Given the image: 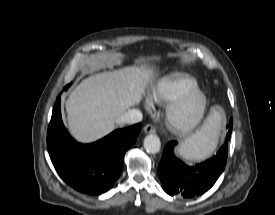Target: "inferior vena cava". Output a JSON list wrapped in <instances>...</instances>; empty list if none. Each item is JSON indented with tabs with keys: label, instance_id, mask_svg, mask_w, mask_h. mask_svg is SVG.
Here are the masks:
<instances>
[{
	"label": "inferior vena cava",
	"instance_id": "1",
	"mask_svg": "<svg viewBox=\"0 0 275 215\" xmlns=\"http://www.w3.org/2000/svg\"><path fill=\"white\" fill-rule=\"evenodd\" d=\"M142 121V113L138 109L126 111L119 119V123L135 124Z\"/></svg>",
	"mask_w": 275,
	"mask_h": 215
}]
</instances>
